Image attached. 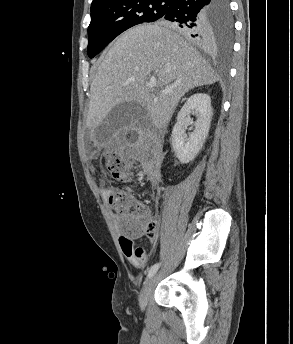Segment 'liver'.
<instances>
[{"mask_svg":"<svg viewBox=\"0 0 293 344\" xmlns=\"http://www.w3.org/2000/svg\"><path fill=\"white\" fill-rule=\"evenodd\" d=\"M153 74L155 93L148 88ZM206 60L179 34L159 24L133 27L120 35L99 66L91 87L86 125L96 129L111 109L135 102L160 129L189 90L218 81ZM170 89L169 93L162 90Z\"/></svg>","mask_w":293,"mask_h":344,"instance_id":"obj_1","label":"liver"}]
</instances>
